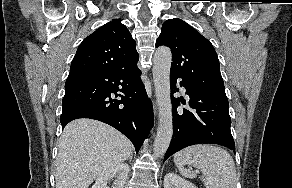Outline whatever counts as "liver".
I'll use <instances>...</instances> for the list:
<instances>
[{
  "label": "liver",
  "mask_w": 292,
  "mask_h": 188,
  "mask_svg": "<svg viewBox=\"0 0 292 188\" xmlns=\"http://www.w3.org/2000/svg\"><path fill=\"white\" fill-rule=\"evenodd\" d=\"M131 154V142L113 127L93 119L74 120L59 140L56 188H88L95 178Z\"/></svg>",
  "instance_id": "6515ba94"
}]
</instances>
